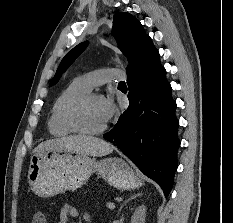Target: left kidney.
Instances as JSON below:
<instances>
[{"label": "left kidney", "mask_w": 233, "mask_h": 223, "mask_svg": "<svg viewBox=\"0 0 233 223\" xmlns=\"http://www.w3.org/2000/svg\"><path fill=\"white\" fill-rule=\"evenodd\" d=\"M146 205H139L131 215V223H145Z\"/></svg>", "instance_id": "left-kidney-1"}]
</instances>
